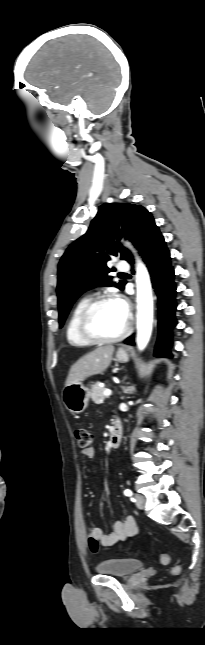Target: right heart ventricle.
<instances>
[{"instance_id": "right-heart-ventricle-1", "label": "right heart ventricle", "mask_w": 205, "mask_h": 645, "mask_svg": "<svg viewBox=\"0 0 205 645\" xmlns=\"http://www.w3.org/2000/svg\"><path fill=\"white\" fill-rule=\"evenodd\" d=\"M88 297L81 298L73 307L66 325V339L71 346L85 347L92 343L86 340L79 331V316L88 303Z\"/></svg>"}]
</instances>
